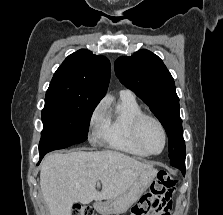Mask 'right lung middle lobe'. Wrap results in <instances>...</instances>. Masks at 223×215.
Returning <instances> with one entry per match:
<instances>
[{
    "label": "right lung middle lobe",
    "mask_w": 223,
    "mask_h": 215,
    "mask_svg": "<svg viewBox=\"0 0 223 215\" xmlns=\"http://www.w3.org/2000/svg\"><path fill=\"white\" fill-rule=\"evenodd\" d=\"M95 107L96 104L45 101L41 113L44 128L39 143V154L84 142Z\"/></svg>",
    "instance_id": "right-lung-middle-lobe-1"
}]
</instances>
